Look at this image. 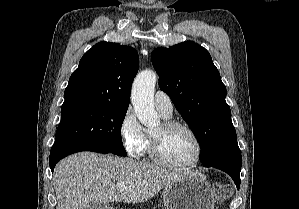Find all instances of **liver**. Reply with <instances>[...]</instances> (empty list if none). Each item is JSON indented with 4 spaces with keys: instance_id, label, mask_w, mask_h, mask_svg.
<instances>
[{
    "instance_id": "liver-1",
    "label": "liver",
    "mask_w": 299,
    "mask_h": 209,
    "mask_svg": "<svg viewBox=\"0 0 299 209\" xmlns=\"http://www.w3.org/2000/svg\"><path fill=\"white\" fill-rule=\"evenodd\" d=\"M191 173L129 158L76 153L55 167L56 209H85L90 202L142 203ZM119 185L125 186L123 192L119 191Z\"/></svg>"
}]
</instances>
